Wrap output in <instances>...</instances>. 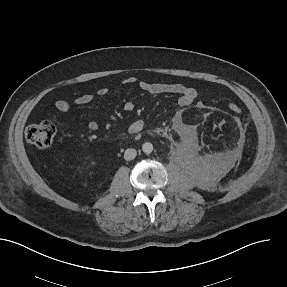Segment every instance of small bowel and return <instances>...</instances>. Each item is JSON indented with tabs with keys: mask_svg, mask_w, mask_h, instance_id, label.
Instances as JSON below:
<instances>
[{
	"mask_svg": "<svg viewBox=\"0 0 287 287\" xmlns=\"http://www.w3.org/2000/svg\"><path fill=\"white\" fill-rule=\"evenodd\" d=\"M124 84L130 85L138 83L139 87L148 93L151 94H174L177 95V103L181 107H186L191 105L197 98L198 92L195 88L186 86L182 83L178 82H150V81H137L135 77H128L123 81ZM107 88L102 87L98 90L99 95H105L107 93ZM94 99V95L92 94H83L77 97L74 100L75 104L84 105L91 103ZM72 106V102L68 100H58L55 104L56 109L59 112H67L70 110ZM124 109L126 111H132L134 109V104L130 101L124 104ZM88 128L91 131H95L98 129V123L95 121H91L88 124ZM145 128V122L142 119H137L133 121L126 129H124L121 134H136L143 131Z\"/></svg>",
	"mask_w": 287,
	"mask_h": 287,
	"instance_id": "1",
	"label": "small bowel"
}]
</instances>
